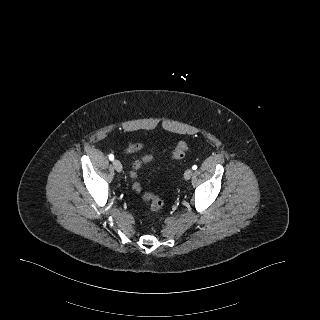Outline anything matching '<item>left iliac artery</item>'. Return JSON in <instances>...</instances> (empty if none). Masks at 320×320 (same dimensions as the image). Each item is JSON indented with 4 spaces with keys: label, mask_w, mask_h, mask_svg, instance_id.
Segmentation results:
<instances>
[{
    "label": "left iliac artery",
    "mask_w": 320,
    "mask_h": 320,
    "mask_svg": "<svg viewBox=\"0 0 320 320\" xmlns=\"http://www.w3.org/2000/svg\"><path fill=\"white\" fill-rule=\"evenodd\" d=\"M192 169H193V170H196V169H197V166H196V165H194V166L192 167Z\"/></svg>",
    "instance_id": "obj_1"
}]
</instances>
